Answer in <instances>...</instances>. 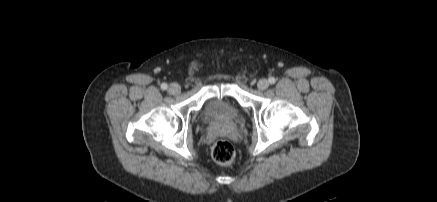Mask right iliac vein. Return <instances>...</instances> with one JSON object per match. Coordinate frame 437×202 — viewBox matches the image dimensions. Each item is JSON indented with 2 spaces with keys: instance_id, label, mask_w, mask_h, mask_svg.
I'll return each instance as SVG.
<instances>
[{
  "instance_id": "right-iliac-vein-1",
  "label": "right iliac vein",
  "mask_w": 437,
  "mask_h": 202,
  "mask_svg": "<svg viewBox=\"0 0 437 202\" xmlns=\"http://www.w3.org/2000/svg\"><path fill=\"white\" fill-rule=\"evenodd\" d=\"M181 91V87L179 84L177 83H172L170 84V86L168 87V92L172 95H176L179 94Z\"/></svg>"
}]
</instances>
